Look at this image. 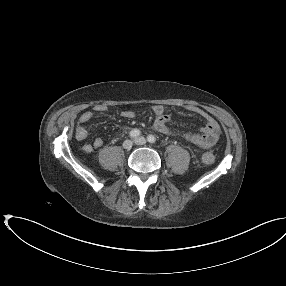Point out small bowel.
Returning a JSON list of instances; mask_svg holds the SVG:
<instances>
[{"instance_id":"obj_1","label":"small bowel","mask_w":286,"mask_h":286,"mask_svg":"<svg viewBox=\"0 0 286 286\" xmlns=\"http://www.w3.org/2000/svg\"><path fill=\"white\" fill-rule=\"evenodd\" d=\"M96 112L102 113L106 110L104 105L95 106ZM188 110L200 115L205 120V125L201 128L199 133L182 132L176 129H172L169 126L171 117L165 113L163 105L156 104L152 106V111L155 114V120L153 127L159 133L165 135H177L183 137L185 140L197 145L200 148L208 149L214 146L220 136V127L216 120L210 116L203 109L196 106H189ZM94 112L86 110L80 114L77 123L74 128V136L77 140H85L88 136L86 124L93 118ZM121 116L126 119L134 117V112L131 110H124L121 112ZM103 139L96 138L92 143L83 144L81 150L84 153H91L92 151L99 149L103 146Z\"/></svg>"}]
</instances>
